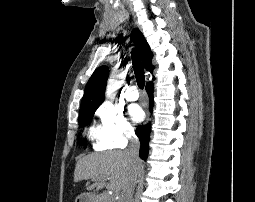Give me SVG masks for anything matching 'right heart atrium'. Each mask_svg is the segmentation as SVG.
Masks as SVG:
<instances>
[{"label":"right heart atrium","mask_w":255,"mask_h":202,"mask_svg":"<svg viewBox=\"0 0 255 202\" xmlns=\"http://www.w3.org/2000/svg\"><path fill=\"white\" fill-rule=\"evenodd\" d=\"M97 115L101 122L98 142L100 148L124 147L134 137V128L122 110L104 103L98 108Z\"/></svg>","instance_id":"right-heart-atrium-1"}]
</instances>
